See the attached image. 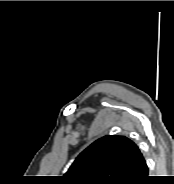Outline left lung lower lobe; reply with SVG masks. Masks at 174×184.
Instances as JSON below:
<instances>
[{
  "label": "left lung lower lobe",
  "mask_w": 174,
  "mask_h": 184,
  "mask_svg": "<svg viewBox=\"0 0 174 184\" xmlns=\"http://www.w3.org/2000/svg\"><path fill=\"white\" fill-rule=\"evenodd\" d=\"M148 180V168L142 154L140 153L135 162L132 177L127 184H145Z\"/></svg>",
  "instance_id": "1"
}]
</instances>
